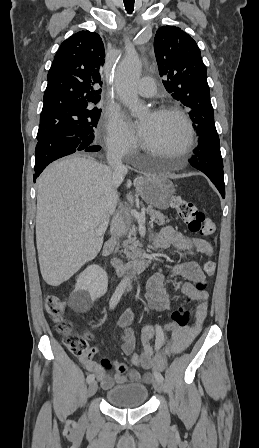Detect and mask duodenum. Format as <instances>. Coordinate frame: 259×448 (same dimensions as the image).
I'll return each mask as SVG.
<instances>
[{
  "instance_id": "1",
  "label": "duodenum",
  "mask_w": 259,
  "mask_h": 448,
  "mask_svg": "<svg viewBox=\"0 0 259 448\" xmlns=\"http://www.w3.org/2000/svg\"><path fill=\"white\" fill-rule=\"evenodd\" d=\"M113 247H114V240L111 239L107 241L103 248V255L104 256L109 255ZM111 264L112 267L115 269L117 275L119 277L124 278L134 276L143 272L148 265V260L146 257L143 256L128 264H124L118 260H112Z\"/></svg>"
}]
</instances>
